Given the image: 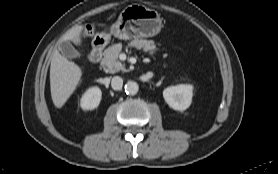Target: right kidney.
Returning <instances> with one entry per match:
<instances>
[{"label":"right kidney","instance_id":"ca27d5eb","mask_svg":"<svg viewBox=\"0 0 278 174\" xmlns=\"http://www.w3.org/2000/svg\"><path fill=\"white\" fill-rule=\"evenodd\" d=\"M102 92L98 87L89 88L80 100L83 110H93L98 107L101 101Z\"/></svg>","mask_w":278,"mask_h":174}]
</instances>
